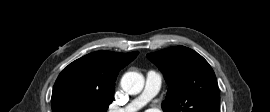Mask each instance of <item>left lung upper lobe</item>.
<instances>
[{
  "instance_id": "left-lung-upper-lobe-1",
  "label": "left lung upper lobe",
  "mask_w": 270,
  "mask_h": 112,
  "mask_svg": "<svg viewBox=\"0 0 270 112\" xmlns=\"http://www.w3.org/2000/svg\"><path fill=\"white\" fill-rule=\"evenodd\" d=\"M169 85L164 112H219L220 93L214 71L197 52L184 46L147 54Z\"/></svg>"
}]
</instances>
